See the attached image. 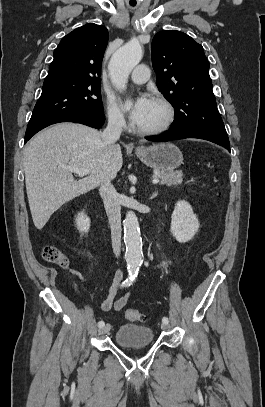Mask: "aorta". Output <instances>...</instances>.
<instances>
[{"mask_svg": "<svg viewBox=\"0 0 265 407\" xmlns=\"http://www.w3.org/2000/svg\"><path fill=\"white\" fill-rule=\"evenodd\" d=\"M142 56V46L137 40L129 41L113 54L108 69L116 89L122 91L126 88L128 76L141 61ZM123 226L127 270L130 276H134L138 273L143 261L142 238L138 218L134 212H127Z\"/></svg>", "mask_w": 265, "mask_h": 407, "instance_id": "aorta-1", "label": "aorta"}]
</instances>
